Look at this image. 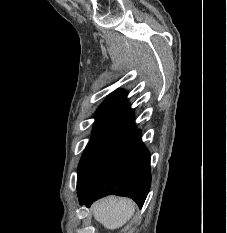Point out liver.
Wrapping results in <instances>:
<instances>
[{"label": "liver", "instance_id": "obj_1", "mask_svg": "<svg viewBox=\"0 0 227 233\" xmlns=\"http://www.w3.org/2000/svg\"><path fill=\"white\" fill-rule=\"evenodd\" d=\"M92 212L95 220L106 229L115 230L125 225L134 215L135 203L128 198L110 196L94 203Z\"/></svg>", "mask_w": 227, "mask_h": 233}]
</instances>
